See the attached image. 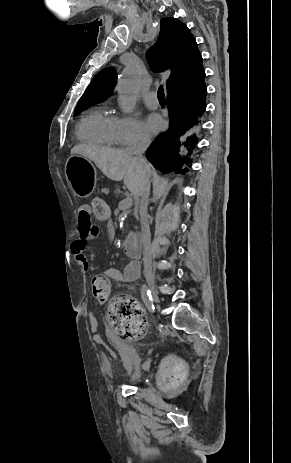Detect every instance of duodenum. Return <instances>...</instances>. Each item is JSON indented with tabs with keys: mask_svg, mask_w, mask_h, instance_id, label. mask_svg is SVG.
I'll return each mask as SVG.
<instances>
[{
	"mask_svg": "<svg viewBox=\"0 0 291 463\" xmlns=\"http://www.w3.org/2000/svg\"><path fill=\"white\" fill-rule=\"evenodd\" d=\"M125 252L133 259L140 258L141 255V237L136 232H131L124 242ZM137 262V261H133Z\"/></svg>",
	"mask_w": 291,
	"mask_h": 463,
	"instance_id": "obj_1",
	"label": "duodenum"
}]
</instances>
